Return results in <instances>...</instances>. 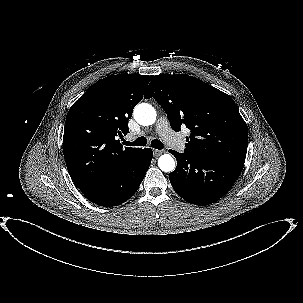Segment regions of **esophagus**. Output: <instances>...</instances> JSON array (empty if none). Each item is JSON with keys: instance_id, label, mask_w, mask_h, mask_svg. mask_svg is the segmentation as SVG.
<instances>
[{"instance_id": "esophagus-1", "label": "esophagus", "mask_w": 303, "mask_h": 303, "mask_svg": "<svg viewBox=\"0 0 303 303\" xmlns=\"http://www.w3.org/2000/svg\"><path fill=\"white\" fill-rule=\"evenodd\" d=\"M153 153H154V155L156 156V157H158V156H160L161 154H163L164 153V150H154L153 151Z\"/></svg>"}]
</instances>
